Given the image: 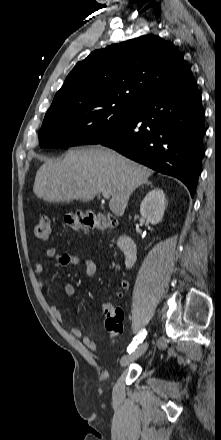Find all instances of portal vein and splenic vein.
Segmentation results:
<instances>
[{"instance_id":"18ae733b","label":"portal vein and splenic vein","mask_w":221,"mask_h":440,"mask_svg":"<svg viewBox=\"0 0 221 440\" xmlns=\"http://www.w3.org/2000/svg\"><path fill=\"white\" fill-rule=\"evenodd\" d=\"M103 197L108 199V198H110V195L108 192H103Z\"/></svg>"}]
</instances>
